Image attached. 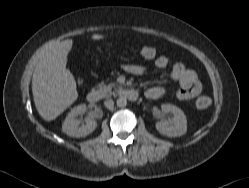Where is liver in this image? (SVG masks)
I'll list each match as a JSON object with an SVG mask.
<instances>
[{"label": "liver", "mask_w": 249, "mask_h": 188, "mask_svg": "<svg viewBox=\"0 0 249 188\" xmlns=\"http://www.w3.org/2000/svg\"><path fill=\"white\" fill-rule=\"evenodd\" d=\"M105 36L93 34V40ZM73 40L51 45L38 61L32 77V93L36 109L46 121L56 119L78 98L73 74L66 68Z\"/></svg>", "instance_id": "obj_1"}]
</instances>
